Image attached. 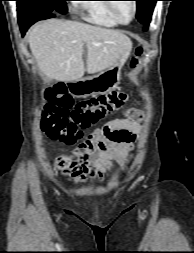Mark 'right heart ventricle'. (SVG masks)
<instances>
[{
    "mask_svg": "<svg viewBox=\"0 0 194 253\" xmlns=\"http://www.w3.org/2000/svg\"><path fill=\"white\" fill-rule=\"evenodd\" d=\"M87 21L105 27L120 24L112 15L106 0H85L79 4Z\"/></svg>",
    "mask_w": 194,
    "mask_h": 253,
    "instance_id": "e07e8e85",
    "label": "right heart ventricle"
}]
</instances>
